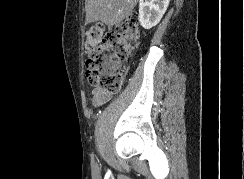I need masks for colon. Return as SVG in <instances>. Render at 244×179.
<instances>
[{
	"instance_id": "colon-1",
	"label": "colon",
	"mask_w": 244,
	"mask_h": 179,
	"mask_svg": "<svg viewBox=\"0 0 244 179\" xmlns=\"http://www.w3.org/2000/svg\"><path fill=\"white\" fill-rule=\"evenodd\" d=\"M140 26L128 18L109 31L102 24L85 33L84 51L87 55L85 72L88 82L100 93L115 94L122 78L118 66L140 45Z\"/></svg>"
}]
</instances>
